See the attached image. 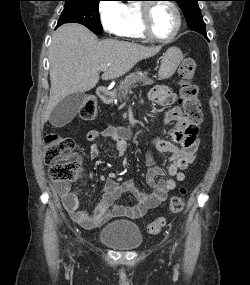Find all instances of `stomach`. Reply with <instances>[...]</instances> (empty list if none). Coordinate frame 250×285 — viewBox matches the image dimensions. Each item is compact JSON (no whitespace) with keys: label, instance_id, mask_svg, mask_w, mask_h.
<instances>
[{"label":"stomach","instance_id":"0dacf381","mask_svg":"<svg viewBox=\"0 0 250 285\" xmlns=\"http://www.w3.org/2000/svg\"><path fill=\"white\" fill-rule=\"evenodd\" d=\"M183 53L178 47H170L164 53L158 71L160 80L169 79L174 75L181 61Z\"/></svg>","mask_w":250,"mask_h":285}]
</instances>
